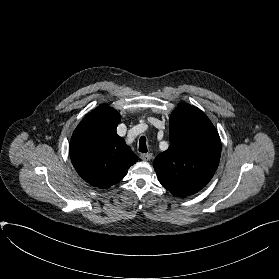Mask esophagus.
I'll use <instances>...</instances> for the list:
<instances>
[{
  "label": "esophagus",
  "mask_w": 279,
  "mask_h": 279,
  "mask_svg": "<svg viewBox=\"0 0 279 279\" xmlns=\"http://www.w3.org/2000/svg\"><path fill=\"white\" fill-rule=\"evenodd\" d=\"M140 158L144 161H149L152 158V154L151 153H143V154H140Z\"/></svg>",
  "instance_id": "1"
}]
</instances>
